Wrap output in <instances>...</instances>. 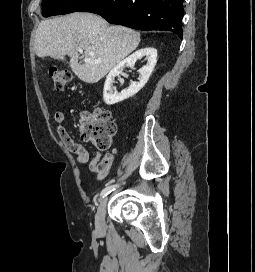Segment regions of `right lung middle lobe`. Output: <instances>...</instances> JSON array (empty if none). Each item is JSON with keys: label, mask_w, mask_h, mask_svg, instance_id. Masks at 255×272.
Masks as SVG:
<instances>
[{"label": "right lung middle lobe", "mask_w": 255, "mask_h": 272, "mask_svg": "<svg viewBox=\"0 0 255 272\" xmlns=\"http://www.w3.org/2000/svg\"><path fill=\"white\" fill-rule=\"evenodd\" d=\"M91 0H43L42 15L44 17L76 12Z\"/></svg>", "instance_id": "obj_1"}]
</instances>
